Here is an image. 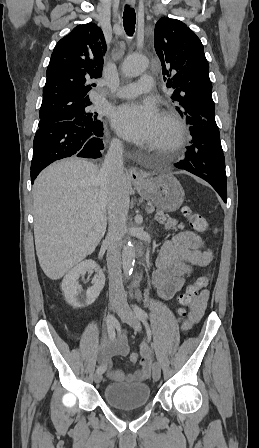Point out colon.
Returning <instances> with one entry per match:
<instances>
[{"label": "colon", "mask_w": 259, "mask_h": 448, "mask_svg": "<svg viewBox=\"0 0 259 448\" xmlns=\"http://www.w3.org/2000/svg\"><path fill=\"white\" fill-rule=\"evenodd\" d=\"M183 214L187 218L192 229L198 232H206L210 230V224L205 216L199 212L191 210L189 207L183 208ZM210 281L209 275H203L199 277L194 283L188 285L183 293L178 298L179 308L178 314L181 317H186L189 308L192 307L200 293L208 286ZM130 361L136 363L139 360V356L136 353L130 355Z\"/></svg>", "instance_id": "colon-1"}]
</instances>
